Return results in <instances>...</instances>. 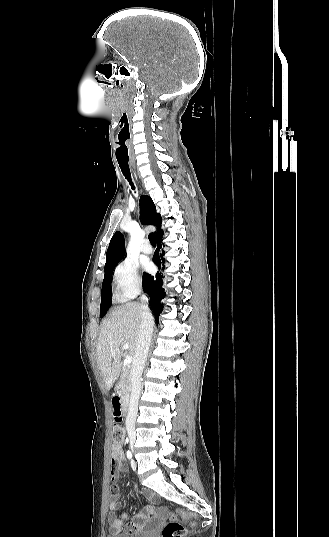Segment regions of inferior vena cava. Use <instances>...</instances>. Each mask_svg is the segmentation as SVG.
I'll return each mask as SVG.
<instances>
[{
    "label": "inferior vena cava",
    "instance_id": "1",
    "mask_svg": "<svg viewBox=\"0 0 329 537\" xmlns=\"http://www.w3.org/2000/svg\"><path fill=\"white\" fill-rule=\"evenodd\" d=\"M141 302V322L137 338V346L130 372L131 398L128 415L126 417V428L130 433H135V422L138 414V401L143 388L141 376L147 360L154 324L153 317L148 308V298L145 294L141 296Z\"/></svg>",
    "mask_w": 329,
    "mask_h": 537
}]
</instances>
